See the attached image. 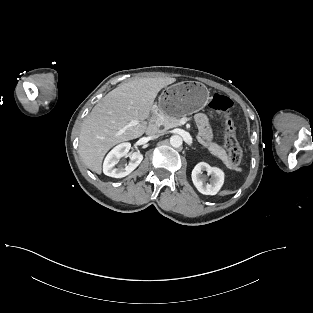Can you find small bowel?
I'll use <instances>...</instances> for the list:
<instances>
[{
  "instance_id": "obj_1",
  "label": "small bowel",
  "mask_w": 313,
  "mask_h": 313,
  "mask_svg": "<svg viewBox=\"0 0 313 313\" xmlns=\"http://www.w3.org/2000/svg\"><path fill=\"white\" fill-rule=\"evenodd\" d=\"M196 123L203 136L209 137L211 134L210 125L205 114H197L195 117Z\"/></svg>"
}]
</instances>
